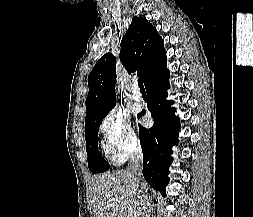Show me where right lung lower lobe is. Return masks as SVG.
I'll use <instances>...</instances> for the list:
<instances>
[{
  "label": "right lung lower lobe",
  "instance_id": "98d812e1",
  "mask_svg": "<svg viewBox=\"0 0 253 217\" xmlns=\"http://www.w3.org/2000/svg\"><path fill=\"white\" fill-rule=\"evenodd\" d=\"M169 71L164 68L153 75L146 83L148 102L147 109L151 112L154 124L150 129L139 124L140 144L143 152V175L145 180L163 196L169 182V166L172 157L171 147L177 145L179 118L174 115L175 108L167 101ZM146 111L138 114V118Z\"/></svg>",
  "mask_w": 253,
  "mask_h": 217
}]
</instances>
